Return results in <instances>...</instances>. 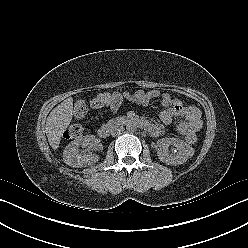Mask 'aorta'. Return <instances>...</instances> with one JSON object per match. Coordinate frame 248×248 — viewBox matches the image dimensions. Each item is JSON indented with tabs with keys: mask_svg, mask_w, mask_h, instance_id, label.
<instances>
[{
	"mask_svg": "<svg viewBox=\"0 0 248 248\" xmlns=\"http://www.w3.org/2000/svg\"><path fill=\"white\" fill-rule=\"evenodd\" d=\"M126 129L128 132L130 133H133L136 131L137 127H136V124L132 123V122H129L127 125H126Z\"/></svg>",
	"mask_w": 248,
	"mask_h": 248,
	"instance_id": "obj_1",
	"label": "aorta"
}]
</instances>
